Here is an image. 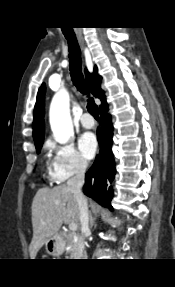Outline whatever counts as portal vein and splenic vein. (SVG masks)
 <instances>
[{
	"label": "portal vein and splenic vein",
	"mask_w": 175,
	"mask_h": 287,
	"mask_svg": "<svg viewBox=\"0 0 175 287\" xmlns=\"http://www.w3.org/2000/svg\"><path fill=\"white\" fill-rule=\"evenodd\" d=\"M69 229L72 231V232H75L77 230V224L76 223H70L69 224Z\"/></svg>",
	"instance_id": "18ae733b"
}]
</instances>
